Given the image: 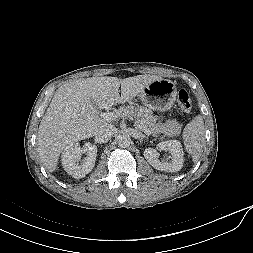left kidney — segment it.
<instances>
[{"mask_svg":"<svg viewBox=\"0 0 253 253\" xmlns=\"http://www.w3.org/2000/svg\"><path fill=\"white\" fill-rule=\"evenodd\" d=\"M169 151L171 160L169 162H161L158 151ZM184 153L181 143L178 140H167L157 144V147L147 148L144 151V157L149 164L157 170L165 172H177L183 167Z\"/></svg>","mask_w":253,"mask_h":253,"instance_id":"1","label":"left kidney"}]
</instances>
